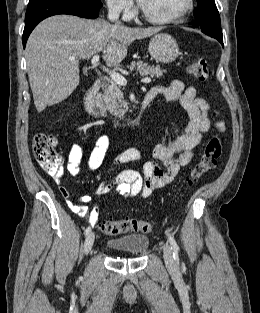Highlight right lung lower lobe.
<instances>
[{
    "instance_id": "1",
    "label": "right lung lower lobe",
    "mask_w": 260,
    "mask_h": 313,
    "mask_svg": "<svg viewBox=\"0 0 260 313\" xmlns=\"http://www.w3.org/2000/svg\"><path fill=\"white\" fill-rule=\"evenodd\" d=\"M101 7L81 0H30L25 15L24 48L30 33L43 19L58 14L94 19L98 17Z\"/></svg>"
}]
</instances>
